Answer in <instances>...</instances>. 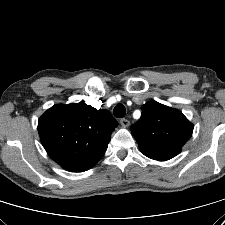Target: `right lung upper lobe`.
<instances>
[{"mask_svg":"<svg viewBox=\"0 0 225 225\" xmlns=\"http://www.w3.org/2000/svg\"><path fill=\"white\" fill-rule=\"evenodd\" d=\"M117 126L109 111L79 102L48 109L38 121V132L52 160L70 172H83L104 155Z\"/></svg>","mask_w":225,"mask_h":225,"instance_id":"cb5924a9","label":"right lung upper lobe"}]
</instances>
